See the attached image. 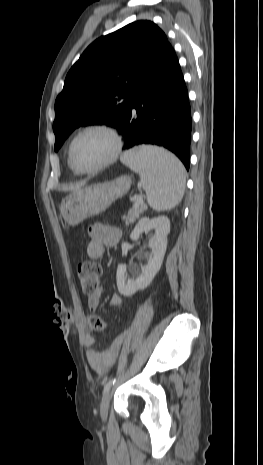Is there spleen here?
Wrapping results in <instances>:
<instances>
[{
  "mask_svg": "<svg viewBox=\"0 0 263 465\" xmlns=\"http://www.w3.org/2000/svg\"><path fill=\"white\" fill-rule=\"evenodd\" d=\"M122 161L140 176L149 206L164 211L177 206L183 198L186 171L172 153L154 146H140L126 152Z\"/></svg>",
  "mask_w": 263,
  "mask_h": 465,
  "instance_id": "3e777b00",
  "label": "spleen"
}]
</instances>
